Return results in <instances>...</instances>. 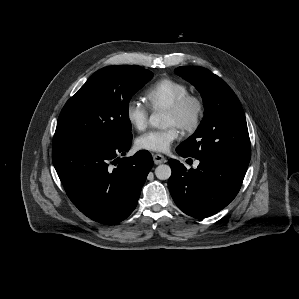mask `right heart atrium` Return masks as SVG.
Instances as JSON below:
<instances>
[{
  "label": "right heart atrium",
  "mask_w": 299,
  "mask_h": 299,
  "mask_svg": "<svg viewBox=\"0 0 299 299\" xmlns=\"http://www.w3.org/2000/svg\"><path fill=\"white\" fill-rule=\"evenodd\" d=\"M125 116L128 123L138 131H142L148 126L149 110L136 99H130L126 103Z\"/></svg>",
  "instance_id": "1"
}]
</instances>
